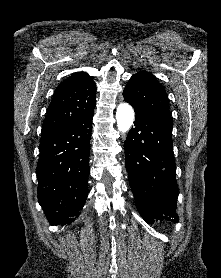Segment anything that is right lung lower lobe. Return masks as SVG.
<instances>
[{
  "instance_id": "right-lung-lower-lobe-1",
  "label": "right lung lower lobe",
  "mask_w": 221,
  "mask_h": 278,
  "mask_svg": "<svg viewBox=\"0 0 221 278\" xmlns=\"http://www.w3.org/2000/svg\"><path fill=\"white\" fill-rule=\"evenodd\" d=\"M93 114L40 141L38 202L51 225L69 224L86 202Z\"/></svg>"
}]
</instances>
